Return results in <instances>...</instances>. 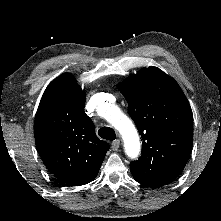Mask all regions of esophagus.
Here are the masks:
<instances>
[{"label": "esophagus", "mask_w": 221, "mask_h": 221, "mask_svg": "<svg viewBox=\"0 0 221 221\" xmlns=\"http://www.w3.org/2000/svg\"><path fill=\"white\" fill-rule=\"evenodd\" d=\"M119 146H120V140H114L112 143H111V148L113 151H117L119 149Z\"/></svg>", "instance_id": "1"}]
</instances>
